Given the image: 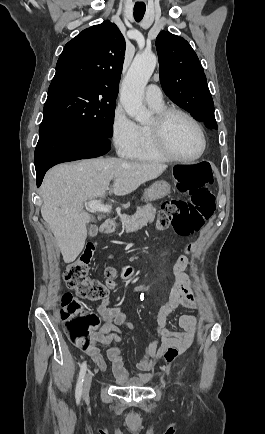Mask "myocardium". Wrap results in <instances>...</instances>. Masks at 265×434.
Masks as SVG:
<instances>
[{
	"label": "myocardium",
	"instance_id": "f54148a6",
	"mask_svg": "<svg viewBox=\"0 0 265 434\" xmlns=\"http://www.w3.org/2000/svg\"><path fill=\"white\" fill-rule=\"evenodd\" d=\"M175 115H180L188 119L196 128V130L199 133L200 139H201V149L199 153L191 158H183L180 157L171 147L168 135H169V124L171 119ZM155 135H156V141L157 146L159 150L171 161L179 162V163H195L199 161L206 153L207 150V138L206 134L204 132L203 127L201 126L200 122L189 112L178 108V107H165L155 118V120L152 123Z\"/></svg>",
	"mask_w": 265,
	"mask_h": 434
}]
</instances>
